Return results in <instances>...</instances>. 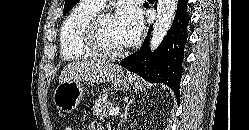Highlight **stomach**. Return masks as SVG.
Listing matches in <instances>:
<instances>
[{
  "label": "stomach",
  "mask_w": 249,
  "mask_h": 130,
  "mask_svg": "<svg viewBox=\"0 0 249 130\" xmlns=\"http://www.w3.org/2000/svg\"><path fill=\"white\" fill-rule=\"evenodd\" d=\"M113 85L118 90H127L132 85L140 86V81L134 76L118 75L113 79ZM84 88L79 81H65L60 83L54 91L55 106L63 113H71L81 102Z\"/></svg>",
  "instance_id": "obj_1"
}]
</instances>
